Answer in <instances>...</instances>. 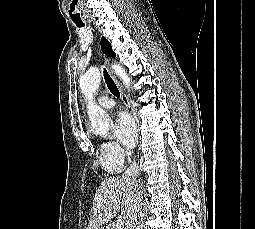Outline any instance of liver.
I'll list each match as a JSON object with an SVG mask.
<instances>
[{"mask_svg": "<svg viewBox=\"0 0 255 229\" xmlns=\"http://www.w3.org/2000/svg\"><path fill=\"white\" fill-rule=\"evenodd\" d=\"M139 189L138 181L133 183L123 176L103 180L94 196L87 229H99L119 211L126 220L133 198Z\"/></svg>", "mask_w": 255, "mask_h": 229, "instance_id": "obj_1", "label": "liver"}]
</instances>
